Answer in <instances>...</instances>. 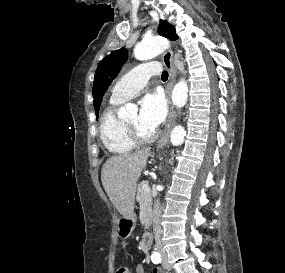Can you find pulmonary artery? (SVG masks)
Segmentation results:
<instances>
[{"instance_id": "pulmonary-artery-1", "label": "pulmonary artery", "mask_w": 285, "mask_h": 273, "mask_svg": "<svg viewBox=\"0 0 285 273\" xmlns=\"http://www.w3.org/2000/svg\"><path fill=\"white\" fill-rule=\"evenodd\" d=\"M162 67L158 62L142 63L123 75L112 89L111 102H123L137 95L151 76L160 74Z\"/></svg>"}]
</instances>
